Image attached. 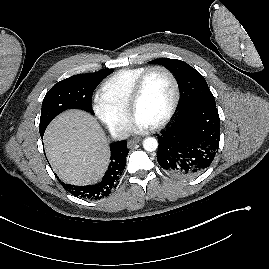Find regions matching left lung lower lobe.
<instances>
[{"label":"left lung lower lobe","mask_w":269,"mask_h":269,"mask_svg":"<svg viewBox=\"0 0 269 269\" xmlns=\"http://www.w3.org/2000/svg\"><path fill=\"white\" fill-rule=\"evenodd\" d=\"M158 136L159 165L178 178L204 172L218 152L220 119L216 105H196L178 114L175 123Z\"/></svg>","instance_id":"left-lung-lower-lobe-1"}]
</instances>
